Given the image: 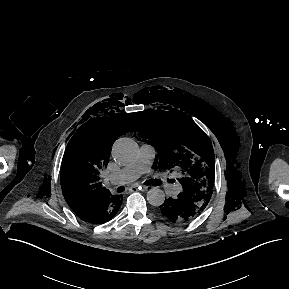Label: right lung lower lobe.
<instances>
[{"mask_svg":"<svg viewBox=\"0 0 289 289\" xmlns=\"http://www.w3.org/2000/svg\"><path fill=\"white\" fill-rule=\"evenodd\" d=\"M122 199V196L117 195L115 199L103 200L97 212L92 217L84 219V221L92 224H102L109 221L117 213Z\"/></svg>","mask_w":289,"mask_h":289,"instance_id":"98d812e1","label":"right lung lower lobe"}]
</instances>
